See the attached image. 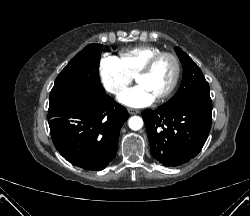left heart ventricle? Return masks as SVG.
<instances>
[{
	"label": "left heart ventricle",
	"instance_id": "b2bd125f",
	"mask_svg": "<svg viewBox=\"0 0 250 216\" xmlns=\"http://www.w3.org/2000/svg\"><path fill=\"white\" fill-rule=\"evenodd\" d=\"M173 75L174 63L170 58L165 57L158 61L150 73L140 77L137 81L156 97L168 88Z\"/></svg>",
	"mask_w": 250,
	"mask_h": 216
}]
</instances>
